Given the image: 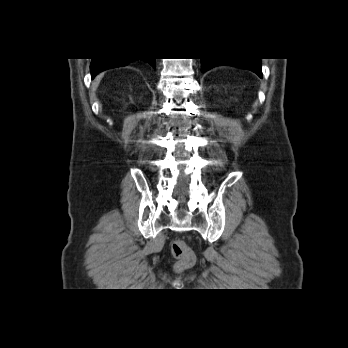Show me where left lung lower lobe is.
Instances as JSON below:
<instances>
[{"label": "left lung lower lobe", "instance_id": "1", "mask_svg": "<svg viewBox=\"0 0 348 348\" xmlns=\"http://www.w3.org/2000/svg\"><path fill=\"white\" fill-rule=\"evenodd\" d=\"M228 65L236 66L255 72L259 77H262L260 59L257 58H230V59H217V58H202L201 70L205 72L213 67Z\"/></svg>", "mask_w": 348, "mask_h": 348}]
</instances>
